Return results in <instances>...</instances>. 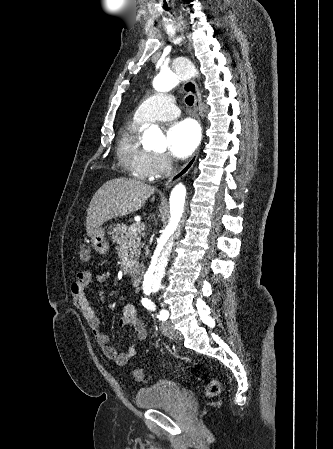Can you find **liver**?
<instances>
[{
  "label": "liver",
  "mask_w": 333,
  "mask_h": 449,
  "mask_svg": "<svg viewBox=\"0 0 333 449\" xmlns=\"http://www.w3.org/2000/svg\"><path fill=\"white\" fill-rule=\"evenodd\" d=\"M154 190L140 181L122 177L104 183L87 209V235L91 237L103 223L112 218L138 211Z\"/></svg>",
  "instance_id": "obj_1"
}]
</instances>
